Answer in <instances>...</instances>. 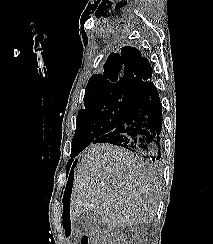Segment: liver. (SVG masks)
Segmentation results:
<instances>
[{
  "mask_svg": "<svg viewBox=\"0 0 213 244\" xmlns=\"http://www.w3.org/2000/svg\"><path fill=\"white\" fill-rule=\"evenodd\" d=\"M160 184L152 167L130 151L92 145L82 156L70 198V219L96 212L107 227L151 223L160 200Z\"/></svg>",
  "mask_w": 213,
  "mask_h": 244,
  "instance_id": "liver-1",
  "label": "liver"
}]
</instances>
